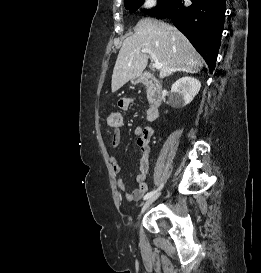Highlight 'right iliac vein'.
Segmentation results:
<instances>
[{"label": "right iliac vein", "instance_id": "1", "mask_svg": "<svg viewBox=\"0 0 261 273\" xmlns=\"http://www.w3.org/2000/svg\"><path fill=\"white\" fill-rule=\"evenodd\" d=\"M160 196V193L154 194L152 197H150L143 205L139 214V217L141 214Z\"/></svg>", "mask_w": 261, "mask_h": 273}]
</instances>
